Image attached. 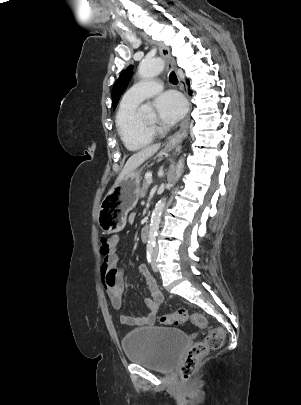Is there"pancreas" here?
Segmentation results:
<instances>
[{
  "label": "pancreas",
  "mask_w": 301,
  "mask_h": 405,
  "mask_svg": "<svg viewBox=\"0 0 301 405\" xmlns=\"http://www.w3.org/2000/svg\"><path fill=\"white\" fill-rule=\"evenodd\" d=\"M149 180L148 179H144L143 180V183H142V188H141V191H140V196L141 197H144L145 195H146V193H147V190H148V188H149Z\"/></svg>",
  "instance_id": "cf45deb5"
}]
</instances>
